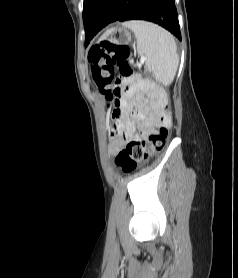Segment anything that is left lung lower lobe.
<instances>
[{
    "instance_id": "0a47b994",
    "label": "left lung lower lobe",
    "mask_w": 238,
    "mask_h": 278,
    "mask_svg": "<svg viewBox=\"0 0 238 278\" xmlns=\"http://www.w3.org/2000/svg\"><path fill=\"white\" fill-rule=\"evenodd\" d=\"M132 19L157 23L181 40L174 0H104L85 33V45L106 25Z\"/></svg>"
}]
</instances>
